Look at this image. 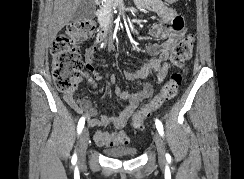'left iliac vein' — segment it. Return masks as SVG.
<instances>
[{
	"label": "left iliac vein",
	"instance_id": "obj_1",
	"mask_svg": "<svg viewBox=\"0 0 244 179\" xmlns=\"http://www.w3.org/2000/svg\"><path fill=\"white\" fill-rule=\"evenodd\" d=\"M154 141L158 152V160L163 161L165 159L164 143L158 133L154 134Z\"/></svg>",
	"mask_w": 244,
	"mask_h": 179
}]
</instances>
